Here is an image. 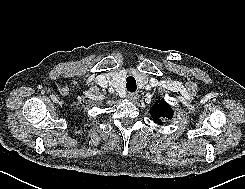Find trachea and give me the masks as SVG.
Instances as JSON below:
<instances>
[{
	"label": "trachea",
	"instance_id": "trachea-1",
	"mask_svg": "<svg viewBox=\"0 0 245 189\" xmlns=\"http://www.w3.org/2000/svg\"><path fill=\"white\" fill-rule=\"evenodd\" d=\"M126 88L129 92H135L137 87H136V80L134 77L129 76L126 79Z\"/></svg>",
	"mask_w": 245,
	"mask_h": 189
}]
</instances>
